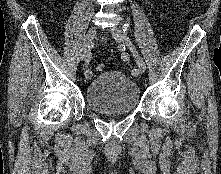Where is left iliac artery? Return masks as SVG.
<instances>
[{"label": "left iliac artery", "instance_id": "1", "mask_svg": "<svg viewBox=\"0 0 221 174\" xmlns=\"http://www.w3.org/2000/svg\"><path fill=\"white\" fill-rule=\"evenodd\" d=\"M127 30H128V24H124V25H123V32H127ZM121 59H122L123 61L127 62V61L130 60V55H129L127 52H122V54H121ZM133 74H134V75H137V74H138V70L135 69V70L133 71Z\"/></svg>", "mask_w": 221, "mask_h": 174}]
</instances>
